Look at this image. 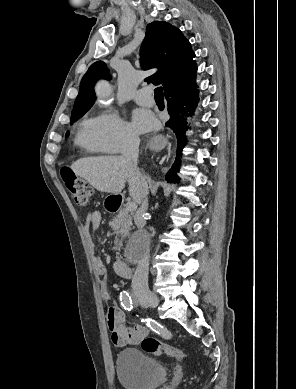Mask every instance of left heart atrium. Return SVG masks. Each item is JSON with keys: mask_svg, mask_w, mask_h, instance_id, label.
I'll return each mask as SVG.
<instances>
[{"mask_svg": "<svg viewBox=\"0 0 296 389\" xmlns=\"http://www.w3.org/2000/svg\"><path fill=\"white\" fill-rule=\"evenodd\" d=\"M132 123L138 132H146L153 127L154 117L148 110L137 108L132 111Z\"/></svg>", "mask_w": 296, "mask_h": 389, "instance_id": "obj_1", "label": "left heart atrium"}]
</instances>
